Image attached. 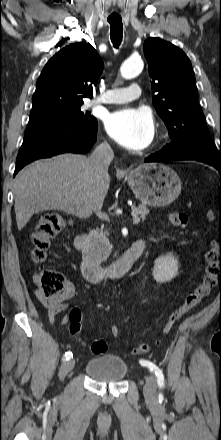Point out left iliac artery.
Instances as JSON below:
<instances>
[{
    "label": "left iliac artery",
    "instance_id": "obj_1",
    "mask_svg": "<svg viewBox=\"0 0 221 440\" xmlns=\"http://www.w3.org/2000/svg\"><path fill=\"white\" fill-rule=\"evenodd\" d=\"M141 365L148 367L157 377V383L160 388L164 386V375L162 370L154 363L147 360L140 361Z\"/></svg>",
    "mask_w": 221,
    "mask_h": 440
}]
</instances>
